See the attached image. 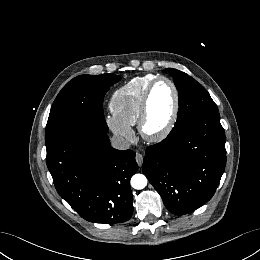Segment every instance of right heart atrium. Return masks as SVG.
I'll return each mask as SVG.
<instances>
[{"label":"right heart atrium","instance_id":"d8ad5b80","mask_svg":"<svg viewBox=\"0 0 260 260\" xmlns=\"http://www.w3.org/2000/svg\"><path fill=\"white\" fill-rule=\"evenodd\" d=\"M106 122L112 132L123 140L130 141L134 137L132 128L119 120L115 115H109Z\"/></svg>","mask_w":260,"mask_h":260}]
</instances>
